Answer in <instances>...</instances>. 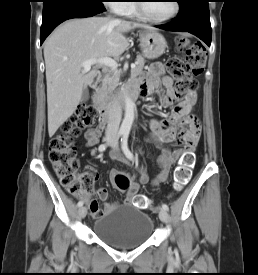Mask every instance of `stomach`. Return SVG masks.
Here are the masks:
<instances>
[{
    "label": "stomach",
    "mask_w": 258,
    "mask_h": 275,
    "mask_svg": "<svg viewBox=\"0 0 258 275\" xmlns=\"http://www.w3.org/2000/svg\"><path fill=\"white\" fill-rule=\"evenodd\" d=\"M139 37L142 54L147 59H157L165 52L166 40L157 31H140Z\"/></svg>",
    "instance_id": "1"
}]
</instances>
